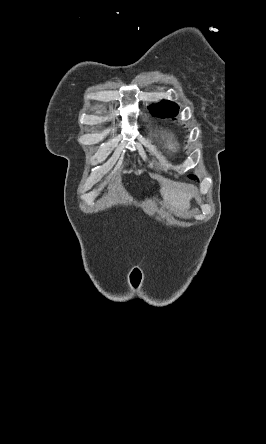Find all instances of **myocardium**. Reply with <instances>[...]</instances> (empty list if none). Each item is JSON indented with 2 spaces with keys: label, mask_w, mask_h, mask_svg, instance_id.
Returning <instances> with one entry per match:
<instances>
[{
  "label": "myocardium",
  "mask_w": 266,
  "mask_h": 444,
  "mask_svg": "<svg viewBox=\"0 0 266 444\" xmlns=\"http://www.w3.org/2000/svg\"><path fill=\"white\" fill-rule=\"evenodd\" d=\"M167 147L172 151V152H177L179 150V142L176 138L174 137H170L167 139Z\"/></svg>",
  "instance_id": "myocardium-1"
}]
</instances>
